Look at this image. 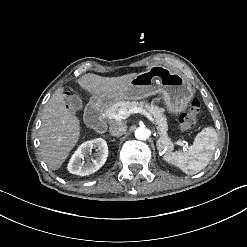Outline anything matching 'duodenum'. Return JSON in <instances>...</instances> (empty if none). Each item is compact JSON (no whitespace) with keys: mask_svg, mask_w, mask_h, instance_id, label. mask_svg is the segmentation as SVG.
Here are the masks:
<instances>
[{"mask_svg":"<svg viewBox=\"0 0 247 247\" xmlns=\"http://www.w3.org/2000/svg\"><path fill=\"white\" fill-rule=\"evenodd\" d=\"M87 123L98 133H104L107 130V121L103 110L95 104H90L85 112Z\"/></svg>","mask_w":247,"mask_h":247,"instance_id":"1","label":"duodenum"}]
</instances>
